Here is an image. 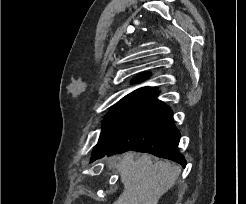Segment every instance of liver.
I'll list each match as a JSON object with an SVG mask.
<instances>
[{"label": "liver", "instance_id": "obj_1", "mask_svg": "<svg viewBox=\"0 0 246 204\" xmlns=\"http://www.w3.org/2000/svg\"><path fill=\"white\" fill-rule=\"evenodd\" d=\"M110 166L117 169L124 185L113 204H157L181 172L179 166L169 161H153L149 154L135 159L133 152L126 153L120 161L112 159Z\"/></svg>", "mask_w": 246, "mask_h": 204}]
</instances>
